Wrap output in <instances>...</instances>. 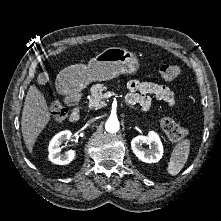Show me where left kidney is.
Returning <instances> with one entry per match:
<instances>
[{
  "label": "left kidney",
  "instance_id": "5707ae66",
  "mask_svg": "<svg viewBox=\"0 0 221 221\" xmlns=\"http://www.w3.org/2000/svg\"><path fill=\"white\" fill-rule=\"evenodd\" d=\"M149 144L150 149L145 150L142 145ZM131 148L136 157L145 163H156L163 156V145L159 135L150 131L147 136H136L131 141Z\"/></svg>",
  "mask_w": 221,
  "mask_h": 221
}]
</instances>
